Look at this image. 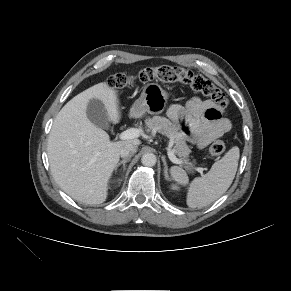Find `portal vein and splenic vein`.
I'll return each instance as SVG.
<instances>
[{"label":"portal vein and splenic vein","instance_id":"portal-vein-and-splenic-vein-1","mask_svg":"<svg viewBox=\"0 0 291 291\" xmlns=\"http://www.w3.org/2000/svg\"><path fill=\"white\" fill-rule=\"evenodd\" d=\"M140 130L137 128H130L125 131H123L119 138L121 140H128V139H134L140 136ZM168 158L175 164H182V160L178 159L172 150H168L167 152Z\"/></svg>","mask_w":291,"mask_h":291}]
</instances>
